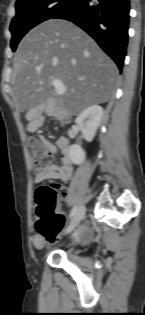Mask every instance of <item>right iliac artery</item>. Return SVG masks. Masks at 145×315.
Wrapping results in <instances>:
<instances>
[{"label":"right iliac artery","mask_w":145,"mask_h":315,"mask_svg":"<svg viewBox=\"0 0 145 315\" xmlns=\"http://www.w3.org/2000/svg\"><path fill=\"white\" fill-rule=\"evenodd\" d=\"M77 212V207H73V209L71 210L70 216L69 218L71 219Z\"/></svg>","instance_id":"right-iliac-artery-1"}]
</instances>
